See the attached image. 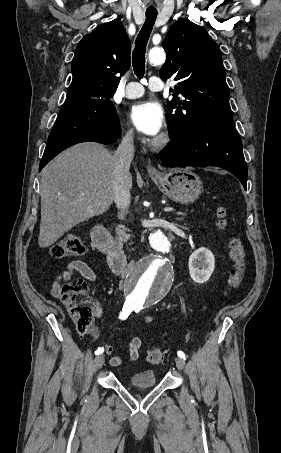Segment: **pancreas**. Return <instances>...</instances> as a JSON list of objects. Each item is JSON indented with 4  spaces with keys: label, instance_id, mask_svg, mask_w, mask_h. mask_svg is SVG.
Masks as SVG:
<instances>
[{
    "label": "pancreas",
    "instance_id": "cf45deb5",
    "mask_svg": "<svg viewBox=\"0 0 281 453\" xmlns=\"http://www.w3.org/2000/svg\"><path fill=\"white\" fill-rule=\"evenodd\" d=\"M127 231H129V229H125V224H118V227H116L117 239H121V241H128V239H130V235H128Z\"/></svg>",
    "mask_w": 281,
    "mask_h": 453
}]
</instances>
